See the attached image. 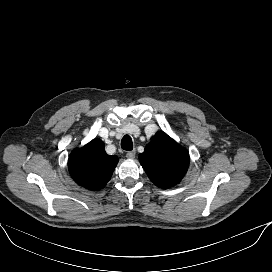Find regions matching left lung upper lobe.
Returning <instances> with one entry per match:
<instances>
[{
    "mask_svg": "<svg viewBox=\"0 0 272 272\" xmlns=\"http://www.w3.org/2000/svg\"><path fill=\"white\" fill-rule=\"evenodd\" d=\"M139 161L156 186L170 188L184 177L190 159L186 149L159 131L139 155Z\"/></svg>",
    "mask_w": 272,
    "mask_h": 272,
    "instance_id": "1",
    "label": "left lung upper lobe"
}]
</instances>
